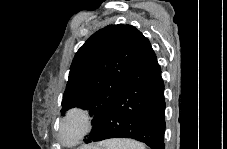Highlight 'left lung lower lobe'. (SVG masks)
<instances>
[{
    "label": "left lung lower lobe",
    "instance_id": "left-lung-lower-lobe-1",
    "mask_svg": "<svg viewBox=\"0 0 227 149\" xmlns=\"http://www.w3.org/2000/svg\"><path fill=\"white\" fill-rule=\"evenodd\" d=\"M165 106L161 68L145 38L120 93L84 141L132 138L152 149H165Z\"/></svg>",
    "mask_w": 227,
    "mask_h": 149
}]
</instances>
